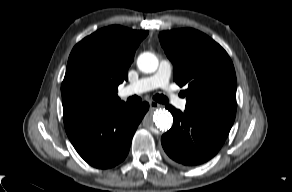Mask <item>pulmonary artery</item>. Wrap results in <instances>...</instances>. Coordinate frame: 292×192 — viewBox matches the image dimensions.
<instances>
[{
  "instance_id": "pulmonary-artery-1",
  "label": "pulmonary artery",
  "mask_w": 292,
  "mask_h": 192,
  "mask_svg": "<svg viewBox=\"0 0 292 192\" xmlns=\"http://www.w3.org/2000/svg\"><path fill=\"white\" fill-rule=\"evenodd\" d=\"M172 74V65L167 59H161L157 71L147 77H143L134 83L126 86L121 94L123 96L129 94H139L162 88L167 90V98L180 110H184L186 107V100L178 97L176 93L169 89V81Z\"/></svg>"
}]
</instances>
